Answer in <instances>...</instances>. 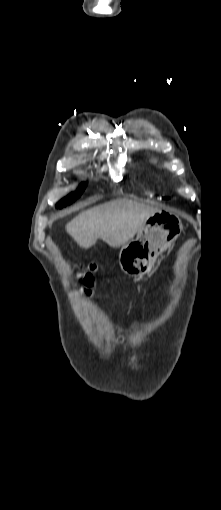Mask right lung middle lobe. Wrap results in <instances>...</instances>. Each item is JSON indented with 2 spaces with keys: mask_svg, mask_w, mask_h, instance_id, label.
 Returning <instances> with one entry per match:
<instances>
[{
  "mask_svg": "<svg viewBox=\"0 0 221 510\" xmlns=\"http://www.w3.org/2000/svg\"><path fill=\"white\" fill-rule=\"evenodd\" d=\"M85 187H86V184H84V183L81 184V186L79 187V190L77 192L72 193L69 196H67L66 198L62 199L57 204V207L58 208H62L63 206H66V205L70 204L72 201H74L76 198H78L80 196V194L83 192Z\"/></svg>",
  "mask_w": 221,
  "mask_h": 510,
  "instance_id": "right-lung-middle-lobe-1",
  "label": "right lung middle lobe"
}]
</instances>
